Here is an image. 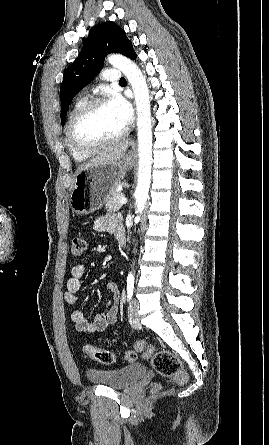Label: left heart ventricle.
I'll list each match as a JSON object with an SVG mask.
<instances>
[{
  "mask_svg": "<svg viewBox=\"0 0 269 445\" xmlns=\"http://www.w3.org/2000/svg\"><path fill=\"white\" fill-rule=\"evenodd\" d=\"M117 113L105 103L87 114L76 127V137L86 144H93L116 136L125 129Z\"/></svg>",
  "mask_w": 269,
  "mask_h": 445,
  "instance_id": "b2bd125f",
  "label": "left heart ventricle"
}]
</instances>
